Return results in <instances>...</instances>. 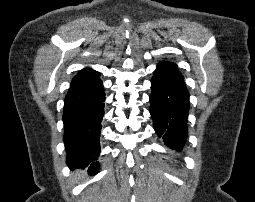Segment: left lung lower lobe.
<instances>
[{
    "instance_id": "1",
    "label": "left lung lower lobe",
    "mask_w": 255,
    "mask_h": 202,
    "mask_svg": "<svg viewBox=\"0 0 255 202\" xmlns=\"http://www.w3.org/2000/svg\"><path fill=\"white\" fill-rule=\"evenodd\" d=\"M150 114L155 132L172 149H182L187 137L189 93L184 82L155 72L151 80Z\"/></svg>"
}]
</instances>
